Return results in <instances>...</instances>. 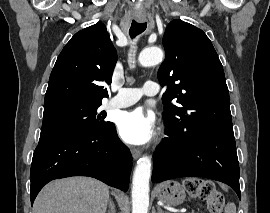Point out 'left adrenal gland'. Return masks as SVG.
<instances>
[{"instance_id": "obj_1", "label": "left adrenal gland", "mask_w": 270, "mask_h": 213, "mask_svg": "<svg viewBox=\"0 0 270 213\" xmlns=\"http://www.w3.org/2000/svg\"><path fill=\"white\" fill-rule=\"evenodd\" d=\"M157 213H164L160 206H157Z\"/></svg>"}]
</instances>
